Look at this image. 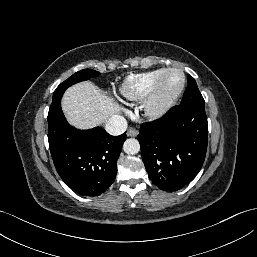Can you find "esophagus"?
I'll use <instances>...</instances> for the list:
<instances>
[{
    "label": "esophagus",
    "mask_w": 257,
    "mask_h": 257,
    "mask_svg": "<svg viewBox=\"0 0 257 257\" xmlns=\"http://www.w3.org/2000/svg\"><path fill=\"white\" fill-rule=\"evenodd\" d=\"M126 134L128 137H135V136H137L138 131L135 128H130V129H128Z\"/></svg>",
    "instance_id": "esophagus-1"
}]
</instances>
